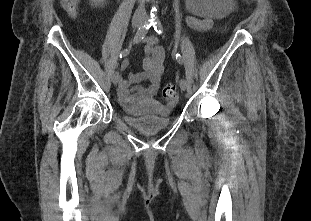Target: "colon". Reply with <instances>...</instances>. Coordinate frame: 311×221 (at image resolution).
Wrapping results in <instances>:
<instances>
[{"instance_id": "1", "label": "colon", "mask_w": 311, "mask_h": 221, "mask_svg": "<svg viewBox=\"0 0 311 221\" xmlns=\"http://www.w3.org/2000/svg\"><path fill=\"white\" fill-rule=\"evenodd\" d=\"M62 8L71 17H77L79 13L80 0H59ZM163 99L168 104H173L177 100V89L173 84H167L162 91Z\"/></svg>"}]
</instances>
